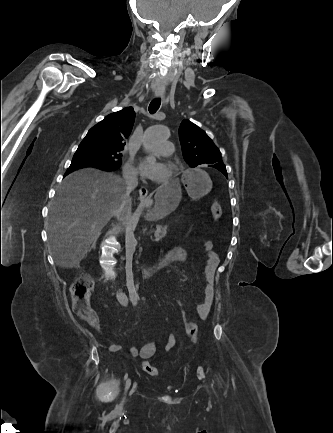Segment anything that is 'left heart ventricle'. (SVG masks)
<instances>
[{"label": "left heart ventricle", "instance_id": "1", "mask_svg": "<svg viewBox=\"0 0 333 433\" xmlns=\"http://www.w3.org/2000/svg\"><path fill=\"white\" fill-rule=\"evenodd\" d=\"M151 157L153 158V160H156V161H157V159H159V160L161 159L162 155L157 154V153H152ZM165 166H166V165H165ZM166 171H167V173H168V168H167V166H166Z\"/></svg>", "mask_w": 333, "mask_h": 433}]
</instances>
